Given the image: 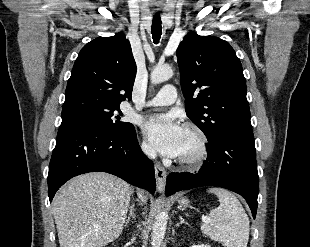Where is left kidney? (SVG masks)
<instances>
[{
  "mask_svg": "<svg viewBox=\"0 0 310 247\" xmlns=\"http://www.w3.org/2000/svg\"><path fill=\"white\" fill-rule=\"evenodd\" d=\"M191 247H211V246H209V245H193V246H191Z\"/></svg>",
  "mask_w": 310,
  "mask_h": 247,
  "instance_id": "obj_1",
  "label": "left kidney"
}]
</instances>
